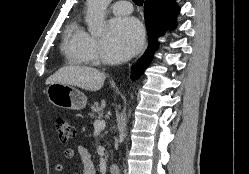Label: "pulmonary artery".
Returning a JSON list of instances; mask_svg holds the SVG:
<instances>
[{
	"instance_id": "e3ab8cb5",
	"label": "pulmonary artery",
	"mask_w": 249,
	"mask_h": 174,
	"mask_svg": "<svg viewBox=\"0 0 249 174\" xmlns=\"http://www.w3.org/2000/svg\"><path fill=\"white\" fill-rule=\"evenodd\" d=\"M111 9L117 15H126L132 12V5L128 1H117L111 5Z\"/></svg>"
}]
</instances>
